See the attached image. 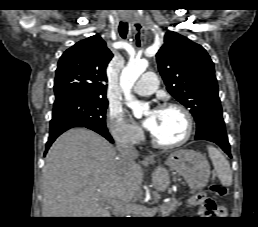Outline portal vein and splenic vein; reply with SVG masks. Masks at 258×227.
Masks as SVG:
<instances>
[{"mask_svg": "<svg viewBox=\"0 0 258 227\" xmlns=\"http://www.w3.org/2000/svg\"><path fill=\"white\" fill-rule=\"evenodd\" d=\"M115 208L118 210H128L134 212H142L144 210V206L141 205H122V204H115Z\"/></svg>", "mask_w": 258, "mask_h": 227, "instance_id": "obj_1", "label": "portal vein and splenic vein"}]
</instances>
